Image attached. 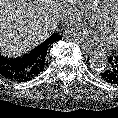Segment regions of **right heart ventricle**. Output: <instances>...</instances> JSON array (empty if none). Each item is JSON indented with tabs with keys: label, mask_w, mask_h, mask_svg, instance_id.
Masks as SVG:
<instances>
[{
	"label": "right heart ventricle",
	"mask_w": 118,
	"mask_h": 118,
	"mask_svg": "<svg viewBox=\"0 0 118 118\" xmlns=\"http://www.w3.org/2000/svg\"><path fill=\"white\" fill-rule=\"evenodd\" d=\"M111 0H94V3L98 5L100 8L104 7Z\"/></svg>",
	"instance_id": "1"
}]
</instances>
